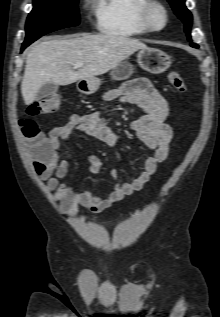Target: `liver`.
I'll list each match as a JSON object with an SVG mask.
<instances>
[{
  "label": "liver",
  "instance_id": "obj_1",
  "mask_svg": "<svg viewBox=\"0 0 220 317\" xmlns=\"http://www.w3.org/2000/svg\"><path fill=\"white\" fill-rule=\"evenodd\" d=\"M147 46L137 39L118 35H88L53 38L33 45L27 54L21 93L26 105L34 102L46 83L69 85L94 78ZM84 66L77 71V63Z\"/></svg>",
  "mask_w": 220,
  "mask_h": 317
}]
</instances>
